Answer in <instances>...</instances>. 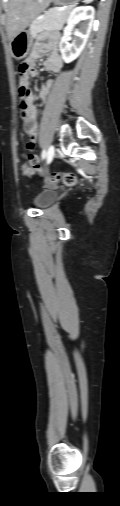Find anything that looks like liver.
I'll return each instance as SVG.
<instances>
[{
  "mask_svg": "<svg viewBox=\"0 0 120 506\" xmlns=\"http://www.w3.org/2000/svg\"><path fill=\"white\" fill-rule=\"evenodd\" d=\"M52 0H10L7 12V34L11 41L40 15Z\"/></svg>",
  "mask_w": 120,
  "mask_h": 506,
  "instance_id": "1",
  "label": "liver"
}]
</instances>
